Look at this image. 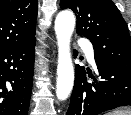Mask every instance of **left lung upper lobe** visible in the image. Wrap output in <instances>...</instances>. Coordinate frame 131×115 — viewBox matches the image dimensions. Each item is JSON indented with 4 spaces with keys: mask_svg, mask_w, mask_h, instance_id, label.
Listing matches in <instances>:
<instances>
[{
    "mask_svg": "<svg viewBox=\"0 0 131 115\" xmlns=\"http://www.w3.org/2000/svg\"><path fill=\"white\" fill-rule=\"evenodd\" d=\"M60 7L76 14L77 33L91 41L95 56L131 72V38L111 0H61Z\"/></svg>",
    "mask_w": 131,
    "mask_h": 115,
    "instance_id": "obj_1",
    "label": "left lung upper lobe"
}]
</instances>
